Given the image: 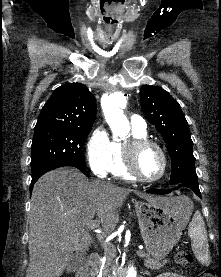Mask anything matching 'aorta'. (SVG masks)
Wrapping results in <instances>:
<instances>
[{
  "label": "aorta",
  "mask_w": 221,
  "mask_h": 277,
  "mask_svg": "<svg viewBox=\"0 0 221 277\" xmlns=\"http://www.w3.org/2000/svg\"><path fill=\"white\" fill-rule=\"evenodd\" d=\"M126 97L122 92L111 95L103 107L105 119L115 136L125 137L129 133L130 126L126 116L123 114V108L126 107ZM137 272L133 265L128 268L126 277H136Z\"/></svg>",
  "instance_id": "1"
}]
</instances>
